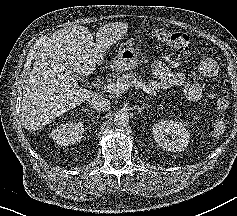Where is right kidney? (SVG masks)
Listing matches in <instances>:
<instances>
[{
	"mask_svg": "<svg viewBox=\"0 0 237 216\" xmlns=\"http://www.w3.org/2000/svg\"><path fill=\"white\" fill-rule=\"evenodd\" d=\"M74 138H72V143L77 142L78 140H80L81 137H79L78 135L73 136Z\"/></svg>",
	"mask_w": 237,
	"mask_h": 216,
	"instance_id": "1",
	"label": "right kidney"
}]
</instances>
